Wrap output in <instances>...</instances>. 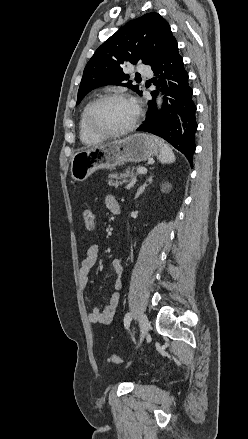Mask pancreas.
Instances as JSON below:
<instances>
[{
	"instance_id": "1",
	"label": "pancreas",
	"mask_w": 248,
	"mask_h": 439,
	"mask_svg": "<svg viewBox=\"0 0 248 439\" xmlns=\"http://www.w3.org/2000/svg\"><path fill=\"white\" fill-rule=\"evenodd\" d=\"M108 183L110 186L118 187L119 185H122L123 183H127L129 181H132L135 179L134 169L130 170L127 169L124 173H113L109 175Z\"/></svg>"
}]
</instances>
